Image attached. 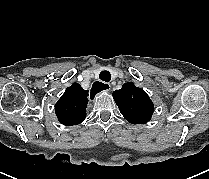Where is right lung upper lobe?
<instances>
[{
	"label": "right lung upper lobe",
	"mask_w": 209,
	"mask_h": 179,
	"mask_svg": "<svg viewBox=\"0 0 209 179\" xmlns=\"http://www.w3.org/2000/svg\"><path fill=\"white\" fill-rule=\"evenodd\" d=\"M88 90L78 83L68 87L55 104V113L60 123L66 126L80 124L86 117Z\"/></svg>",
	"instance_id": "right-lung-upper-lobe-1"
}]
</instances>
